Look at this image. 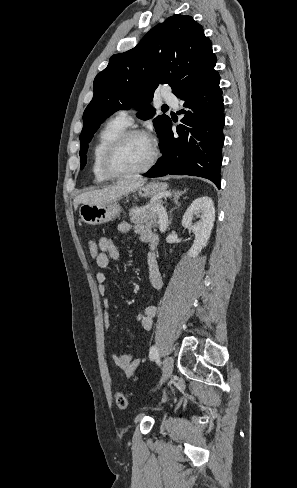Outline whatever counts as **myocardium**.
<instances>
[{"mask_svg":"<svg viewBox=\"0 0 297 488\" xmlns=\"http://www.w3.org/2000/svg\"><path fill=\"white\" fill-rule=\"evenodd\" d=\"M136 136H142L148 138L151 143H152V155L150 160L147 162L146 165H144L142 168H139L137 170L131 171V172H126V173H120L117 172L113 169L112 167V159L116 152L119 150V148L130 138L136 137ZM159 158V149L157 147V144L153 141V139L143 130L139 129H127L124 132H122L119 136H117L107 147L105 150V153L103 155L102 159V167L105 172V174L110 178V179H124V178H130L137 176L139 174H143L147 171H149L157 162Z\"/></svg>","mask_w":297,"mask_h":488,"instance_id":"1","label":"myocardium"}]
</instances>
